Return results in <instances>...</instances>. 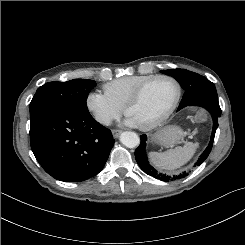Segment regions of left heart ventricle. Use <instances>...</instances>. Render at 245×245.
I'll use <instances>...</instances> for the list:
<instances>
[{
	"instance_id": "1",
	"label": "left heart ventricle",
	"mask_w": 245,
	"mask_h": 245,
	"mask_svg": "<svg viewBox=\"0 0 245 245\" xmlns=\"http://www.w3.org/2000/svg\"><path fill=\"white\" fill-rule=\"evenodd\" d=\"M176 93L173 82L154 81L145 88L140 100L128 109L127 115L133 117L139 126L150 124L169 110Z\"/></svg>"
}]
</instances>
